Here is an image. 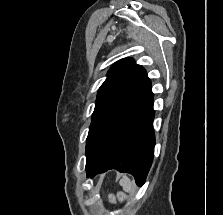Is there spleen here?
Returning a JSON list of instances; mask_svg holds the SVG:
<instances>
[{
  "label": "spleen",
  "mask_w": 223,
  "mask_h": 215,
  "mask_svg": "<svg viewBox=\"0 0 223 215\" xmlns=\"http://www.w3.org/2000/svg\"><path fill=\"white\" fill-rule=\"evenodd\" d=\"M120 185H123V189H125V191H131L133 187V183L127 175H123L122 179H120Z\"/></svg>",
  "instance_id": "1"
}]
</instances>
